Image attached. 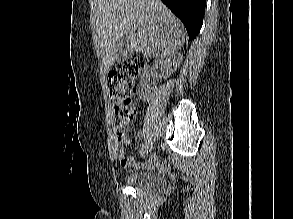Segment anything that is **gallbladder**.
Masks as SVG:
<instances>
[{"instance_id":"1","label":"gallbladder","mask_w":293,"mask_h":219,"mask_svg":"<svg viewBox=\"0 0 293 219\" xmlns=\"http://www.w3.org/2000/svg\"><path fill=\"white\" fill-rule=\"evenodd\" d=\"M131 38L128 35L121 37L116 44V61L122 62L128 60L132 55Z\"/></svg>"}]
</instances>
